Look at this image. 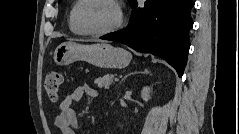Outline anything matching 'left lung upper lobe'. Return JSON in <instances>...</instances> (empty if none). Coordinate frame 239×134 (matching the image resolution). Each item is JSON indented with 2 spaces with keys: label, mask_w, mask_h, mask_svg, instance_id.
I'll use <instances>...</instances> for the list:
<instances>
[{
  "label": "left lung upper lobe",
  "mask_w": 239,
  "mask_h": 134,
  "mask_svg": "<svg viewBox=\"0 0 239 134\" xmlns=\"http://www.w3.org/2000/svg\"><path fill=\"white\" fill-rule=\"evenodd\" d=\"M62 0H58V2L60 3ZM134 0H129L130 4L133 2Z\"/></svg>",
  "instance_id": "5c2ea615"
}]
</instances>
